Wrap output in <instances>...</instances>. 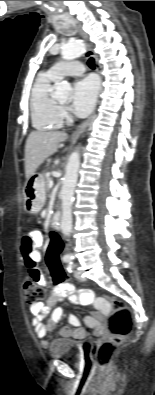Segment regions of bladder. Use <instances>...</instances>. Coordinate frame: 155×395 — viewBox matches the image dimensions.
<instances>
[{
    "label": "bladder",
    "mask_w": 155,
    "mask_h": 395,
    "mask_svg": "<svg viewBox=\"0 0 155 395\" xmlns=\"http://www.w3.org/2000/svg\"><path fill=\"white\" fill-rule=\"evenodd\" d=\"M50 354L54 358L80 361L84 357V346L74 339L59 338L51 343Z\"/></svg>",
    "instance_id": "obj_1"
}]
</instances>
